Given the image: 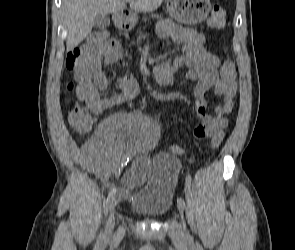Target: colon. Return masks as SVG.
<instances>
[{
	"mask_svg": "<svg viewBox=\"0 0 295 250\" xmlns=\"http://www.w3.org/2000/svg\"><path fill=\"white\" fill-rule=\"evenodd\" d=\"M226 24V11L221 5H214L210 16L208 18V26L211 29H221ZM108 41V33L106 31H98L94 33L87 46L76 50L72 53L74 56L82 57L87 50L92 48H100ZM221 78L227 82L235 81L236 79V67L235 63L227 58L223 61L220 69ZM73 83L66 85V92L68 95L65 98V103L68 106L67 118L70 125L78 132H87L92 129L95 116L98 114V110L93 105H86L84 103H78L70 93L73 91Z\"/></svg>",
	"mask_w": 295,
	"mask_h": 250,
	"instance_id": "colon-1",
	"label": "colon"
}]
</instances>
